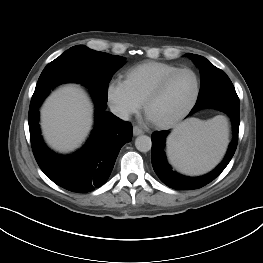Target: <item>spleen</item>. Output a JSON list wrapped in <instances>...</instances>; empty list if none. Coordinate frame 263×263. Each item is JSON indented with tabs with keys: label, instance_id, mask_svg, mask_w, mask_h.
Segmentation results:
<instances>
[{
	"label": "spleen",
	"instance_id": "3e777b00",
	"mask_svg": "<svg viewBox=\"0 0 263 263\" xmlns=\"http://www.w3.org/2000/svg\"><path fill=\"white\" fill-rule=\"evenodd\" d=\"M228 143V123L224 116L207 121L191 118L179 125L167 140L170 163L187 175L211 170L221 160Z\"/></svg>",
	"mask_w": 263,
	"mask_h": 263
}]
</instances>
